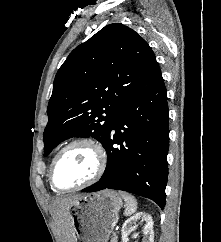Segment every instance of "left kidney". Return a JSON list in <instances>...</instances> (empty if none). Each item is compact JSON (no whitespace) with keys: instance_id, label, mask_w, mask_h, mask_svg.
Here are the masks:
<instances>
[{"instance_id":"5707ae66","label":"left kidney","mask_w":221,"mask_h":242,"mask_svg":"<svg viewBox=\"0 0 221 242\" xmlns=\"http://www.w3.org/2000/svg\"><path fill=\"white\" fill-rule=\"evenodd\" d=\"M139 220H144L146 222L143 229V242H154L153 220L151 215L144 212L136 213L124 222L122 226V242H128V236L135 230L136 223Z\"/></svg>"}]
</instances>
